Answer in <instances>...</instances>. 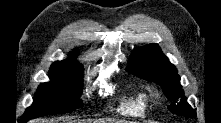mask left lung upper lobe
<instances>
[{"label":"left lung upper lobe","mask_w":221,"mask_h":123,"mask_svg":"<svg viewBox=\"0 0 221 123\" xmlns=\"http://www.w3.org/2000/svg\"><path fill=\"white\" fill-rule=\"evenodd\" d=\"M127 71L139 78L159 84L167 98L175 102L168 107L172 113L195 116L184 96L177 69L163 55L157 44H148L135 50L128 61Z\"/></svg>","instance_id":"1"}]
</instances>
